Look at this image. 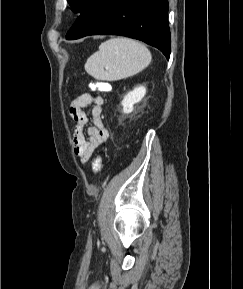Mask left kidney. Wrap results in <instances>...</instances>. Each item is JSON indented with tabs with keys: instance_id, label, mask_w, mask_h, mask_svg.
Wrapping results in <instances>:
<instances>
[{
	"instance_id": "left-kidney-1",
	"label": "left kidney",
	"mask_w": 243,
	"mask_h": 289,
	"mask_svg": "<svg viewBox=\"0 0 243 289\" xmlns=\"http://www.w3.org/2000/svg\"><path fill=\"white\" fill-rule=\"evenodd\" d=\"M146 94V88L144 86L135 87L134 90L127 93L122 100V111L125 114H129L134 110V104L142 100Z\"/></svg>"
}]
</instances>
